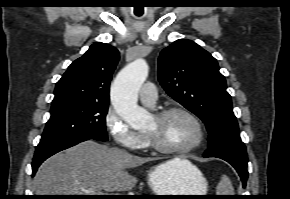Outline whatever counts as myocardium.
<instances>
[{
    "label": "myocardium",
    "mask_w": 290,
    "mask_h": 199,
    "mask_svg": "<svg viewBox=\"0 0 290 199\" xmlns=\"http://www.w3.org/2000/svg\"><path fill=\"white\" fill-rule=\"evenodd\" d=\"M172 114H182L194 123L196 130H197L196 140L191 145H189L187 147L170 148V147H166V146L160 144L151 134L145 133L149 147L152 150L157 151L159 153L166 154V155H173V156L186 155V154H189V153L195 151L196 149H198L203 144V142L205 141V137H206L205 129H204V126H203L202 122L200 121V119L193 112H191L190 110H188L184 107L165 108V109H162L160 111H157L154 114V117L157 120L161 121Z\"/></svg>",
    "instance_id": "1"
}]
</instances>
